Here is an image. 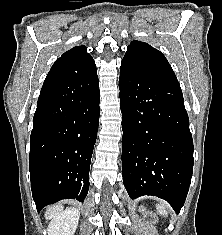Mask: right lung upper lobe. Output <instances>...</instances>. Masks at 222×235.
I'll return each mask as SVG.
<instances>
[{"instance_id":"right-lung-upper-lobe-1","label":"right lung upper lobe","mask_w":222,"mask_h":235,"mask_svg":"<svg viewBox=\"0 0 222 235\" xmlns=\"http://www.w3.org/2000/svg\"><path fill=\"white\" fill-rule=\"evenodd\" d=\"M85 46H76L66 51L51 67L46 79L52 82H65L96 71L92 56Z\"/></svg>"}]
</instances>
